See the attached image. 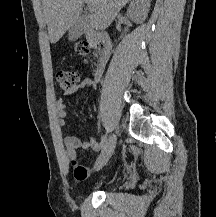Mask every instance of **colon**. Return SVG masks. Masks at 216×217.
<instances>
[{
	"label": "colon",
	"mask_w": 216,
	"mask_h": 217,
	"mask_svg": "<svg viewBox=\"0 0 216 217\" xmlns=\"http://www.w3.org/2000/svg\"><path fill=\"white\" fill-rule=\"evenodd\" d=\"M96 49H103L102 45H96ZM76 52L82 56H86L90 52V45L87 43H79L76 45ZM56 81L60 87L66 91L72 90L76 87L80 74L77 70L59 69L55 74ZM74 174L78 176L80 170L74 165Z\"/></svg>",
	"instance_id": "obj_1"
}]
</instances>
